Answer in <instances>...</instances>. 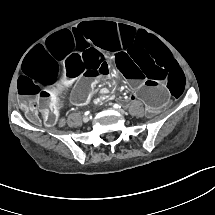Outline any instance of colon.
Here are the masks:
<instances>
[{"label": "colon", "instance_id": "colon-1", "mask_svg": "<svg viewBox=\"0 0 215 215\" xmlns=\"http://www.w3.org/2000/svg\"><path fill=\"white\" fill-rule=\"evenodd\" d=\"M40 105L43 109V111L45 112V120H46V124L48 126H52L56 123L57 118H58V112L55 108V106L53 105V102H51L48 99H44L40 102ZM27 116L31 119V120H35L36 116L34 114L33 111L29 110L27 112Z\"/></svg>", "mask_w": 215, "mask_h": 215}]
</instances>
